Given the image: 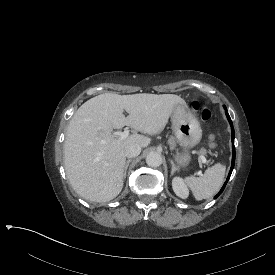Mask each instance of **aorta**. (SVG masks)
<instances>
[{
	"label": "aorta",
	"instance_id": "1",
	"mask_svg": "<svg viewBox=\"0 0 275 275\" xmlns=\"http://www.w3.org/2000/svg\"><path fill=\"white\" fill-rule=\"evenodd\" d=\"M146 162L149 166L157 167L162 164V155L158 152H150L147 155Z\"/></svg>",
	"mask_w": 275,
	"mask_h": 275
}]
</instances>
